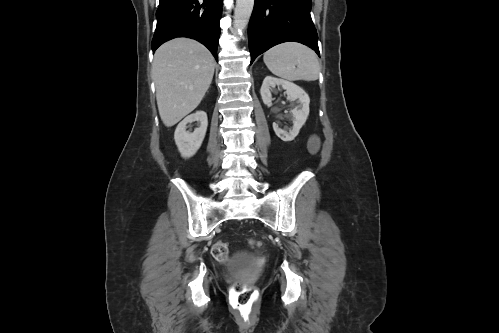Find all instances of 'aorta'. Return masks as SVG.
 Masks as SVG:
<instances>
[{"instance_id": "1", "label": "aorta", "mask_w": 499, "mask_h": 333, "mask_svg": "<svg viewBox=\"0 0 499 333\" xmlns=\"http://www.w3.org/2000/svg\"><path fill=\"white\" fill-rule=\"evenodd\" d=\"M253 7L254 0H236V7L234 11L235 33L241 32L247 27Z\"/></svg>"}]
</instances>
